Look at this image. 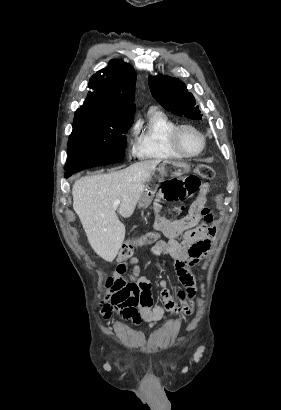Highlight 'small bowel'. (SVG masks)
Segmentation results:
<instances>
[{
	"mask_svg": "<svg viewBox=\"0 0 281 410\" xmlns=\"http://www.w3.org/2000/svg\"><path fill=\"white\" fill-rule=\"evenodd\" d=\"M210 191L208 184H203L198 196L191 204L188 213L179 220H168L160 214L157 205L155 227L162 231L168 241H159L152 248V254L168 255L174 259L173 268L178 280L188 288L187 292L179 291L176 301L164 279L159 280V296L164 307L154 305L151 293V282L141 273L138 258L132 257L129 263L121 262L105 280L108 301L102 305V312L110 314L114 308L123 310L134 322L141 319L151 326L161 320L166 312L178 314L189 313L185 300L194 296V281L191 268L198 264L209 251L216 235L211 211L206 206L207 195ZM133 270L126 279L128 265Z\"/></svg>",
	"mask_w": 281,
	"mask_h": 410,
	"instance_id": "obj_1",
	"label": "small bowel"
}]
</instances>
